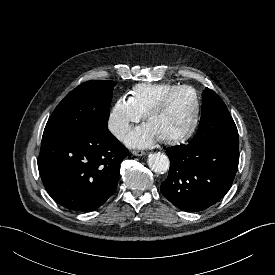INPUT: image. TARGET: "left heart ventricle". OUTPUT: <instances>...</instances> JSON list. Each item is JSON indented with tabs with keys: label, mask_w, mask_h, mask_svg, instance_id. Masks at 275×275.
<instances>
[{
	"label": "left heart ventricle",
	"mask_w": 275,
	"mask_h": 275,
	"mask_svg": "<svg viewBox=\"0 0 275 275\" xmlns=\"http://www.w3.org/2000/svg\"><path fill=\"white\" fill-rule=\"evenodd\" d=\"M195 109L194 94L183 90L174 94L165 108L147 122L159 139L182 134L190 125Z\"/></svg>",
	"instance_id": "b2bd125f"
}]
</instances>
